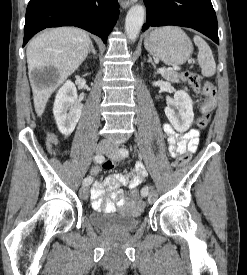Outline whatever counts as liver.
Here are the masks:
<instances>
[{
  "label": "liver",
  "mask_w": 247,
  "mask_h": 275,
  "mask_svg": "<svg viewBox=\"0 0 247 275\" xmlns=\"http://www.w3.org/2000/svg\"><path fill=\"white\" fill-rule=\"evenodd\" d=\"M91 39L87 32L75 27H58L44 31L33 38L26 49L28 72L31 80L35 111L41 116L51 94L86 59ZM54 67L57 71L55 83L38 86L32 80L35 69Z\"/></svg>",
  "instance_id": "obj_1"
}]
</instances>
